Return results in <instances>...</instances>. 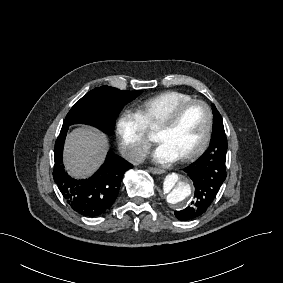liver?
<instances>
[{"instance_id":"liver-1","label":"liver","mask_w":283,"mask_h":283,"mask_svg":"<svg viewBox=\"0 0 283 283\" xmlns=\"http://www.w3.org/2000/svg\"><path fill=\"white\" fill-rule=\"evenodd\" d=\"M106 147V137L97 130H74L68 135L65 147V163L71 175H90L103 161Z\"/></svg>"}]
</instances>
